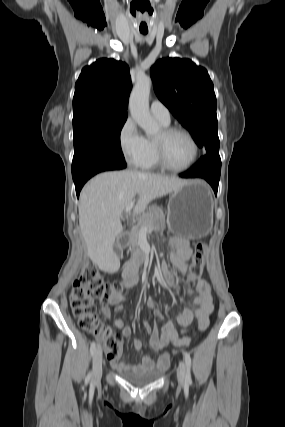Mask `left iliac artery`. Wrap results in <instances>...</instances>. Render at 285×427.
Listing matches in <instances>:
<instances>
[{
    "instance_id": "1",
    "label": "left iliac artery",
    "mask_w": 285,
    "mask_h": 427,
    "mask_svg": "<svg viewBox=\"0 0 285 427\" xmlns=\"http://www.w3.org/2000/svg\"><path fill=\"white\" fill-rule=\"evenodd\" d=\"M184 357H185V363H186V368H187L185 381H186V383L191 384L192 383L191 373H190L191 357L187 352L184 353Z\"/></svg>"
}]
</instances>
